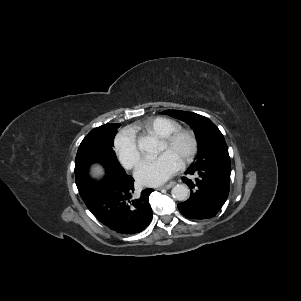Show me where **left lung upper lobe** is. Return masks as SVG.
<instances>
[{
  "label": "left lung upper lobe",
  "mask_w": 301,
  "mask_h": 301,
  "mask_svg": "<svg viewBox=\"0 0 301 301\" xmlns=\"http://www.w3.org/2000/svg\"><path fill=\"white\" fill-rule=\"evenodd\" d=\"M170 115L189 124L197 136L198 153L190 167H215L231 170L230 157L224 137L208 118L180 110H165Z\"/></svg>",
  "instance_id": "5c2ea615"
}]
</instances>
